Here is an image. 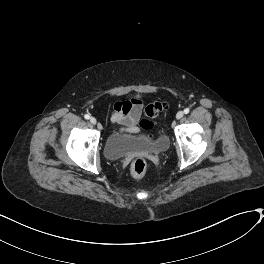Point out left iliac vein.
<instances>
[{"label": "left iliac vein", "mask_w": 264, "mask_h": 264, "mask_svg": "<svg viewBox=\"0 0 264 264\" xmlns=\"http://www.w3.org/2000/svg\"><path fill=\"white\" fill-rule=\"evenodd\" d=\"M184 113L182 111H179L177 114H176V118L177 119H181L183 117Z\"/></svg>", "instance_id": "1"}]
</instances>
